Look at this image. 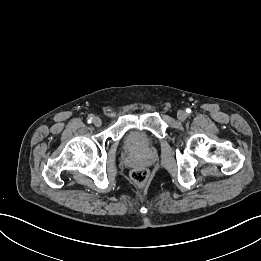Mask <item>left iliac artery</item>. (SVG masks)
Returning <instances> with one entry per match:
<instances>
[{
  "mask_svg": "<svg viewBox=\"0 0 261 261\" xmlns=\"http://www.w3.org/2000/svg\"><path fill=\"white\" fill-rule=\"evenodd\" d=\"M186 111H187L188 113H190V109H187Z\"/></svg>",
  "mask_w": 261,
  "mask_h": 261,
  "instance_id": "obj_1",
  "label": "left iliac artery"
}]
</instances>
